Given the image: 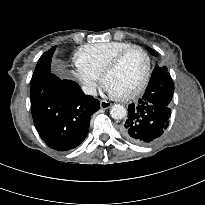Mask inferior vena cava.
<instances>
[{"label": "inferior vena cava", "instance_id": "1", "mask_svg": "<svg viewBox=\"0 0 205 205\" xmlns=\"http://www.w3.org/2000/svg\"><path fill=\"white\" fill-rule=\"evenodd\" d=\"M82 90L87 95H92V96L97 95L96 88L93 86H90V85L82 86Z\"/></svg>", "mask_w": 205, "mask_h": 205}]
</instances>
